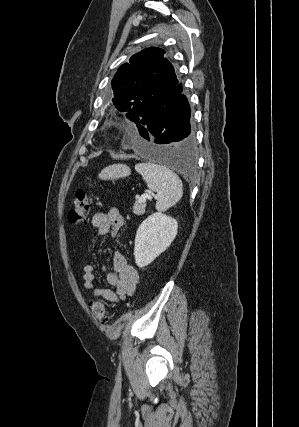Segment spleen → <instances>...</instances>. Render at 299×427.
Listing matches in <instances>:
<instances>
[{
  "instance_id": "spleen-1",
  "label": "spleen",
  "mask_w": 299,
  "mask_h": 427,
  "mask_svg": "<svg viewBox=\"0 0 299 427\" xmlns=\"http://www.w3.org/2000/svg\"><path fill=\"white\" fill-rule=\"evenodd\" d=\"M135 170L141 174L149 190L157 192L159 199L156 209L166 211L174 206L183 196L181 179L165 166L151 162L140 163Z\"/></svg>"
}]
</instances>
